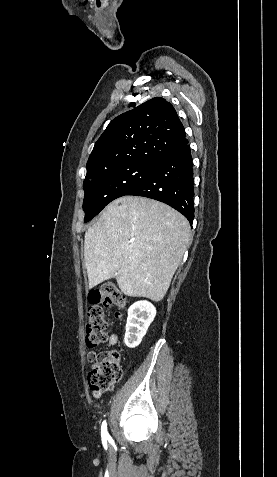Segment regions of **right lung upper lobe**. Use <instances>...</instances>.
<instances>
[{"label": "right lung upper lobe", "instance_id": "1", "mask_svg": "<svg viewBox=\"0 0 277 477\" xmlns=\"http://www.w3.org/2000/svg\"><path fill=\"white\" fill-rule=\"evenodd\" d=\"M187 143L172 104L155 97L109 123L91 152L87 173L132 162L156 164Z\"/></svg>", "mask_w": 277, "mask_h": 477}]
</instances>
